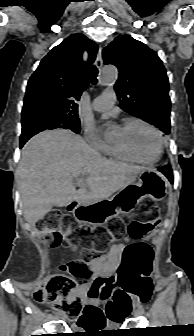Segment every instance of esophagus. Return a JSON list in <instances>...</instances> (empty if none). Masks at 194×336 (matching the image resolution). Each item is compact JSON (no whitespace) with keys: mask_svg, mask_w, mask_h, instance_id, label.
Masks as SVG:
<instances>
[{"mask_svg":"<svg viewBox=\"0 0 194 336\" xmlns=\"http://www.w3.org/2000/svg\"><path fill=\"white\" fill-rule=\"evenodd\" d=\"M95 64H96L97 68H99V69L102 68L103 60H102V48L101 47H99V49H98Z\"/></svg>","mask_w":194,"mask_h":336,"instance_id":"esophagus-1","label":"esophagus"}]
</instances>
